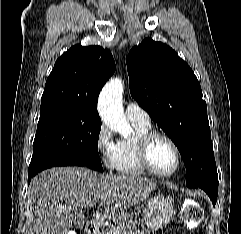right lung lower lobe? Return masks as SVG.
I'll list each match as a JSON object with an SVG mask.
<instances>
[{
  "label": "right lung lower lobe",
  "mask_w": 241,
  "mask_h": 234,
  "mask_svg": "<svg viewBox=\"0 0 241 234\" xmlns=\"http://www.w3.org/2000/svg\"><path fill=\"white\" fill-rule=\"evenodd\" d=\"M84 166V164L79 161L78 159L65 155V154H51L46 155L34 162H31L29 165V173H28V183L30 182L31 178L34 177L40 171L56 167V166Z\"/></svg>",
  "instance_id": "right-lung-lower-lobe-1"
}]
</instances>
